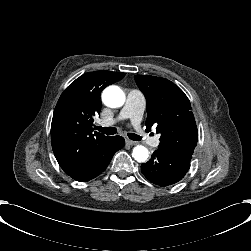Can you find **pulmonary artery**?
Returning <instances> with one entry per match:
<instances>
[{"label": "pulmonary artery", "mask_w": 251, "mask_h": 251, "mask_svg": "<svg viewBox=\"0 0 251 251\" xmlns=\"http://www.w3.org/2000/svg\"><path fill=\"white\" fill-rule=\"evenodd\" d=\"M146 101L142 94L135 90H130L127 93L125 103L123 108L121 109L119 115L114 119H100L98 121L99 126L108 127L111 126L121 120L130 119L132 125L140 130V123L143 119V115L145 112ZM149 144L151 146H158L159 139L158 138H150Z\"/></svg>", "instance_id": "pulmonary-artery-1"}]
</instances>
